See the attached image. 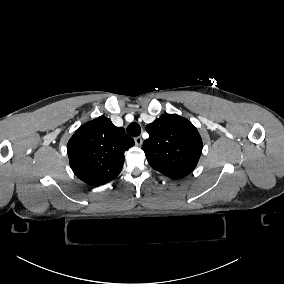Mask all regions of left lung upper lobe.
I'll return each instance as SVG.
<instances>
[{
	"instance_id": "1",
	"label": "left lung upper lobe",
	"mask_w": 284,
	"mask_h": 284,
	"mask_svg": "<svg viewBox=\"0 0 284 284\" xmlns=\"http://www.w3.org/2000/svg\"><path fill=\"white\" fill-rule=\"evenodd\" d=\"M149 139L142 146L150 166L172 179L190 174L202 151L195 126L176 114H165L146 126Z\"/></svg>"
}]
</instances>
